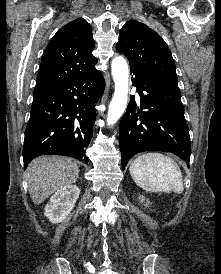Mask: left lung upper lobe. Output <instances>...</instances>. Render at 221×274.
Here are the masks:
<instances>
[{
    "label": "left lung upper lobe",
    "mask_w": 221,
    "mask_h": 274,
    "mask_svg": "<svg viewBox=\"0 0 221 274\" xmlns=\"http://www.w3.org/2000/svg\"><path fill=\"white\" fill-rule=\"evenodd\" d=\"M116 49L127 57L130 66L178 88L171 52L164 40L147 25L135 20L125 23Z\"/></svg>",
    "instance_id": "5c2ea615"
}]
</instances>
